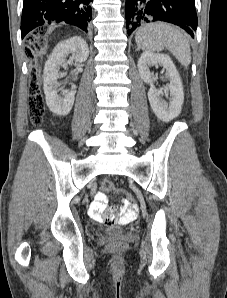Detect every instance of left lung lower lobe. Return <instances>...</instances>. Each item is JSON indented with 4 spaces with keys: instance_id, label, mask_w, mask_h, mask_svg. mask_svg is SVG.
I'll return each mask as SVG.
<instances>
[{
    "instance_id": "left-lung-lower-lobe-1",
    "label": "left lung lower lobe",
    "mask_w": 227,
    "mask_h": 298,
    "mask_svg": "<svg viewBox=\"0 0 227 298\" xmlns=\"http://www.w3.org/2000/svg\"><path fill=\"white\" fill-rule=\"evenodd\" d=\"M125 15L128 35L142 23L154 21L176 24L192 37L197 29L194 0H126Z\"/></svg>"
}]
</instances>
